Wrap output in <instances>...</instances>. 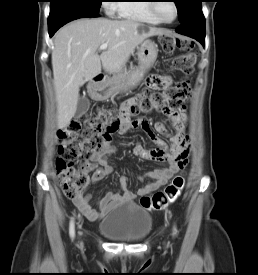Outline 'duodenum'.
<instances>
[{
  "mask_svg": "<svg viewBox=\"0 0 258 275\" xmlns=\"http://www.w3.org/2000/svg\"><path fill=\"white\" fill-rule=\"evenodd\" d=\"M104 81H105V76L103 73H98L95 75L94 82L96 85H94V87L91 90L93 94L100 92L101 90L100 86L104 83Z\"/></svg>",
  "mask_w": 258,
  "mask_h": 275,
  "instance_id": "410a0bca",
  "label": "duodenum"
}]
</instances>
